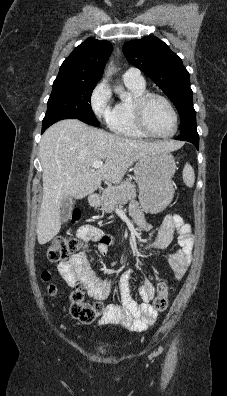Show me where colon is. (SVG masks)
Returning a JSON list of instances; mask_svg holds the SVG:
<instances>
[{
    "label": "colon",
    "instance_id": "colon-1",
    "mask_svg": "<svg viewBox=\"0 0 227 396\" xmlns=\"http://www.w3.org/2000/svg\"><path fill=\"white\" fill-rule=\"evenodd\" d=\"M80 216L79 211L73 213V220H78ZM82 242L73 237L58 236L55 237L49 244L47 249V257L52 262H60L68 259L70 256L76 254L79 250L84 249ZM50 276L47 272L43 273V279L49 280ZM49 292H55V286H49ZM70 312L72 316L82 323H91L98 317H101L105 311V306L98 301L90 304L85 301L82 285L77 284L76 288L70 294ZM168 306V286L165 282L159 281L157 283V293L153 300V308L157 312H163Z\"/></svg>",
    "mask_w": 227,
    "mask_h": 396
}]
</instances>
